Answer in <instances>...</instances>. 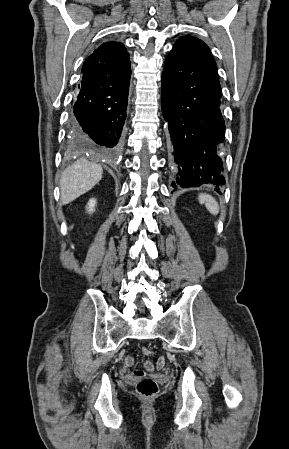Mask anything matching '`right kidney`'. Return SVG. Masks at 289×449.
Returning <instances> with one entry per match:
<instances>
[{
  "mask_svg": "<svg viewBox=\"0 0 289 449\" xmlns=\"http://www.w3.org/2000/svg\"><path fill=\"white\" fill-rule=\"evenodd\" d=\"M95 205H96V199L95 198H91L87 204V210L89 213L94 212L95 210Z\"/></svg>",
  "mask_w": 289,
  "mask_h": 449,
  "instance_id": "1",
  "label": "right kidney"
}]
</instances>
